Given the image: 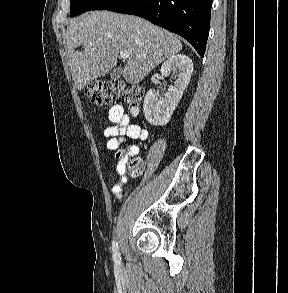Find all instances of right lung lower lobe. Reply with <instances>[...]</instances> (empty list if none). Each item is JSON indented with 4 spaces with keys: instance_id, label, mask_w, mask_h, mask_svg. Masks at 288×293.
<instances>
[{
    "instance_id": "98d812e1",
    "label": "right lung lower lobe",
    "mask_w": 288,
    "mask_h": 293,
    "mask_svg": "<svg viewBox=\"0 0 288 293\" xmlns=\"http://www.w3.org/2000/svg\"><path fill=\"white\" fill-rule=\"evenodd\" d=\"M213 0H121L107 10L133 14L184 37L203 56Z\"/></svg>"
}]
</instances>
